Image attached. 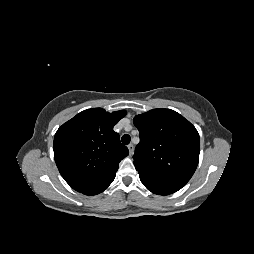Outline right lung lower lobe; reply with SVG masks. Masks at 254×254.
Instances as JSON below:
<instances>
[{
    "mask_svg": "<svg viewBox=\"0 0 254 254\" xmlns=\"http://www.w3.org/2000/svg\"><path fill=\"white\" fill-rule=\"evenodd\" d=\"M115 176H113L112 178L106 180L105 182L97 185V186H94L92 188H89V189H85V190H82V191H79L85 195H96V194H99L101 192H103L111 183L112 181L114 180Z\"/></svg>",
    "mask_w": 254,
    "mask_h": 254,
    "instance_id": "right-lung-lower-lobe-1",
    "label": "right lung lower lobe"
}]
</instances>
